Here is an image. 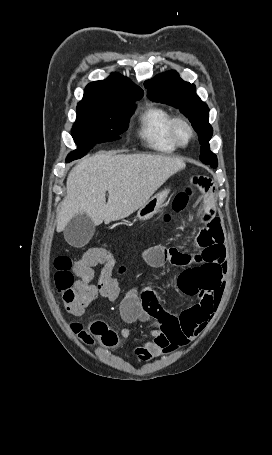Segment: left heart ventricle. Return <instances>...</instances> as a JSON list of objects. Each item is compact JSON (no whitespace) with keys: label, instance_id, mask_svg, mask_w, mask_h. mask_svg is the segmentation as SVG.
Wrapping results in <instances>:
<instances>
[{"label":"left heart ventricle","instance_id":"1","mask_svg":"<svg viewBox=\"0 0 272 455\" xmlns=\"http://www.w3.org/2000/svg\"><path fill=\"white\" fill-rule=\"evenodd\" d=\"M178 136H179L181 141H183V142L186 141L189 138L188 129L185 126L180 125L178 127Z\"/></svg>","mask_w":272,"mask_h":455}]
</instances>
